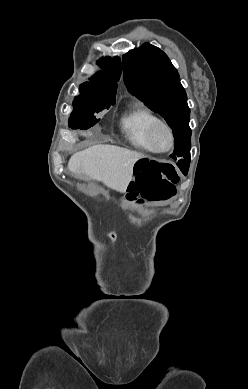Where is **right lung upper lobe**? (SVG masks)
Instances as JSON below:
<instances>
[{"label":"right lung upper lobe","mask_w":248,"mask_h":389,"mask_svg":"<svg viewBox=\"0 0 248 389\" xmlns=\"http://www.w3.org/2000/svg\"><path fill=\"white\" fill-rule=\"evenodd\" d=\"M97 64L103 70L90 78L91 82H85L81 86L86 91L94 94L116 97L117 82L121 74L120 58L105 57L100 59Z\"/></svg>","instance_id":"1"}]
</instances>
